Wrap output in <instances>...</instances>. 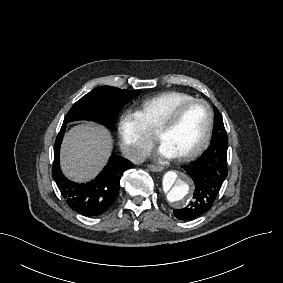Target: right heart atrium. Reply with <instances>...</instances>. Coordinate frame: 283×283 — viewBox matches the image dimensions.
Listing matches in <instances>:
<instances>
[{"instance_id":"obj_1","label":"right heart atrium","mask_w":283,"mask_h":283,"mask_svg":"<svg viewBox=\"0 0 283 283\" xmlns=\"http://www.w3.org/2000/svg\"><path fill=\"white\" fill-rule=\"evenodd\" d=\"M117 135L122 153L131 163L140 162L151 148V132L142 116L131 108L122 111Z\"/></svg>"}]
</instances>
